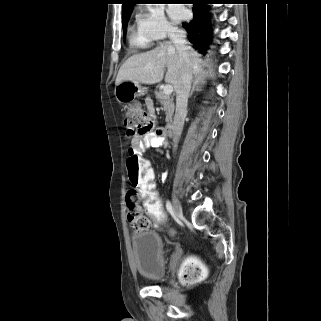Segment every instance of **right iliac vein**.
<instances>
[{"label": "right iliac vein", "instance_id": "63e3f726", "mask_svg": "<svg viewBox=\"0 0 321 321\" xmlns=\"http://www.w3.org/2000/svg\"><path fill=\"white\" fill-rule=\"evenodd\" d=\"M172 202H173V211H174L175 216L177 218H181L183 215L182 207H181V204L176 196H173Z\"/></svg>", "mask_w": 321, "mask_h": 321}]
</instances>
